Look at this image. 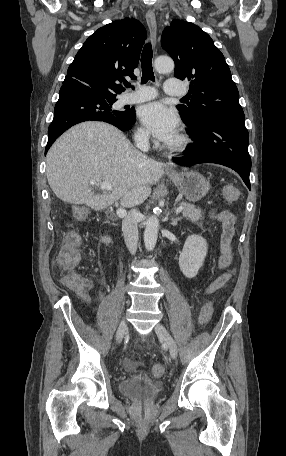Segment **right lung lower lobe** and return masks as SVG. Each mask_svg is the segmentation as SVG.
Segmentation results:
<instances>
[{
  "label": "right lung lower lobe",
  "instance_id": "1",
  "mask_svg": "<svg viewBox=\"0 0 286 456\" xmlns=\"http://www.w3.org/2000/svg\"><path fill=\"white\" fill-rule=\"evenodd\" d=\"M110 100L81 84H63L55 105L54 118L48 129L45 153L65 130L80 122L104 121L122 131L130 130L136 121L134 109L118 116L108 115L106 111Z\"/></svg>",
  "mask_w": 286,
  "mask_h": 456
}]
</instances>
